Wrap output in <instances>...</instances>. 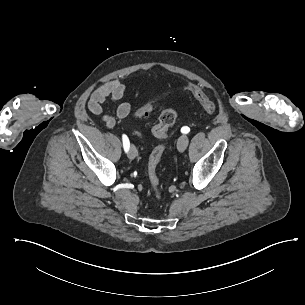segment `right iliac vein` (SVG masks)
<instances>
[{
	"instance_id": "63e3f726",
	"label": "right iliac vein",
	"mask_w": 305,
	"mask_h": 305,
	"mask_svg": "<svg viewBox=\"0 0 305 305\" xmlns=\"http://www.w3.org/2000/svg\"><path fill=\"white\" fill-rule=\"evenodd\" d=\"M128 157H129L130 159H135V157H136V148H135L134 145H131V146H130L129 153H128Z\"/></svg>"
}]
</instances>
